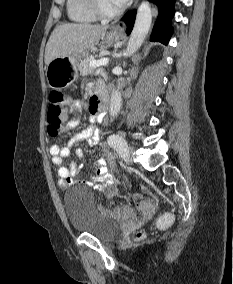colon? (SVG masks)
<instances>
[{"label": "colon", "mask_w": 233, "mask_h": 284, "mask_svg": "<svg viewBox=\"0 0 233 284\" xmlns=\"http://www.w3.org/2000/svg\"><path fill=\"white\" fill-rule=\"evenodd\" d=\"M68 102L69 99L67 95L62 91H51L47 111V131L52 137L58 136L63 131ZM153 208L154 201L152 199H146L138 202L134 207L122 206L109 212L118 219H129L133 216L134 211H138L142 214H148L153 210ZM170 219V215L165 216L166 221H169ZM143 237L144 233L142 232H138L136 234V238L140 239Z\"/></svg>", "instance_id": "colon-1"}]
</instances>
